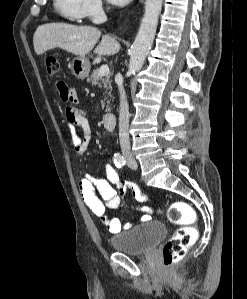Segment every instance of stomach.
Wrapping results in <instances>:
<instances>
[{
	"label": "stomach",
	"instance_id": "stomach-1",
	"mask_svg": "<svg viewBox=\"0 0 247 299\" xmlns=\"http://www.w3.org/2000/svg\"><path fill=\"white\" fill-rule=\"evenodd\" d=\"M73 75L78 79H85L90 72V62L86 57L77 56L71 63Z\"/></svg>",
	"mask_w": 247,
	"mask_h": 299
}]
</instances>
